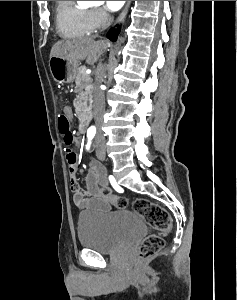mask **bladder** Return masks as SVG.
I'll return each instance as SVG.
<instances>
[{
  "label": "bladder",
  "mask_w": 237,
  "mask_h": 300,
  "mask_svg": "<svg viewBox=\"0 0 237 300\" xmlns=\"http://www.w3.org/2000/svg\"><path fill=\"white\" fill-rule=\"evenodd\" d=\"M145 231L139 214L118 210L109 215H83L78 221L77 237L84 248L113 254L132 245Z\"/></svg>",
  "instance_id": "bladder-1"
}]
</instances>
